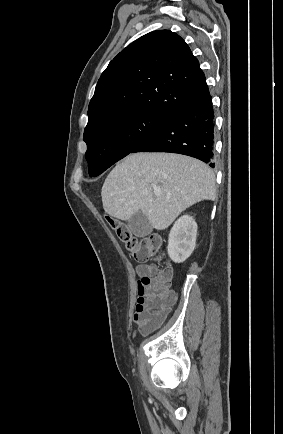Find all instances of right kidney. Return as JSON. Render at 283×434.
<instances>
[{
	"label": "right kidney",
	"instance_id": "ca27d5eb",
	"mask_svg": "<svg viewBox=\"0 0 283 434\" xmlns=\"http://www.w3.org/2000/svg\"><path fill=\"white\" fill-rule=\"evenodd\" d=\"M197 223L188 215L180 217L173 225L168 240V255L176 263L184 262L194 251Z\"/></svg>",
	"mask_w": 283,
	"mask_h": 434
}]
</instances>
